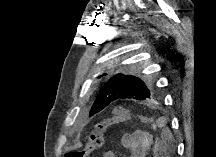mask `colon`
Masks as SVG:
<instances>
[{"mask_svg": "<svg viewBox=\"0 0 216 157\" xmlns=\"http://www.w3.org/2000/svg\"><path fill=\"white\" fill-rule=\"evenodd\" d=\"M131 119H137L143 123L152 124L153 126L158 125V123L155 122V120L151 116L135 114L126 108L117 107L111 112L110 115L96 121L93 124L92 129L87 136L83 149L68 151L66 152L65 157H89L91 154L102 147L104 134L109 126Z\"/></svg>", "mask_w": 216, "mask_h": 157, "instance_id": "5ec220e1", "label": "colon"}]
</instances>
